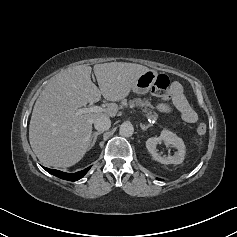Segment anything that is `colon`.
Returning a JSON list of instances; mask_svg holds the SVG:
<instances>
[{
	"label": "colon",
	"instance_id": "colon-1",
	"mask_svg": "<svg viewBox=\"0 0 237 237\" xmlns=\"http://www.w3.org/2000/svg\"><path fill=\"white\" fill-rule=\"evenodd\" d=\"M152 92L164 99V100H168L171 96H170V81L168 79L167 76L165 75H158L153 87H152ZM207 130V126L204 122H199L197 125V133L200 136H203L206 133Z\"/></svg>",
	"mask_w": 237,
	"mask_h": 237
}]
</instances>
